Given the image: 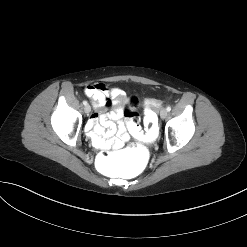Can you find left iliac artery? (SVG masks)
I'll return each instance as SVG.
<instances>
[{"mask_svg": "<svg viewBox=\"0 0 247 247\" xmlns=\"http://www.w3.org/2000/svg\"><path fill=\"white\" fill-rule=\"evenodd\" d=\"M166 110H167L168 112L171 111V107L168 106V107L166 108Z\"/></svg>", "mask_w": 247, "mask_h": 247, "instance_id": "44dca946", "label": "left iliac artery"}]
</instances>
